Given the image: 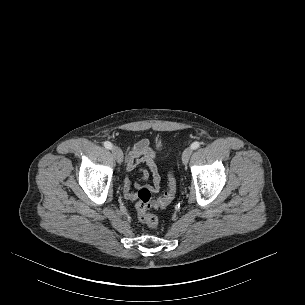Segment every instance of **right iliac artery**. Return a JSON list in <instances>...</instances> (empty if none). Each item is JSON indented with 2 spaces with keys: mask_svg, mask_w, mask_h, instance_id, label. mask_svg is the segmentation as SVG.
Returning a JSON list of instances; mask_svg holds the SVG:
<instances>
[{
  "mask_svg": "<svg viewBox=\"0 0 305 305\" xmlns=\"http://www.w3.org/2000/svg\"><path fill=\"white\" fill-rule=\"evenodd\" d=\"M104 146H105V148H107V149H112V143L109 142V141H105V142H104Z\"/></svg>",
  "mask_w": 305,
  "mask_h": 305,
  "instance_id": "1",
  "label": "right iliac artery"
}]
</instances>
